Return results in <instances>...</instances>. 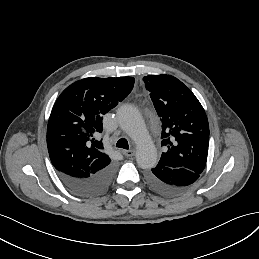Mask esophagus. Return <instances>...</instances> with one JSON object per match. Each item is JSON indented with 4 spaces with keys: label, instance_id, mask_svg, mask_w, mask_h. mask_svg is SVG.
I'll list each match as a JSON object with an SVG mask.
<instances>
[{
    "label": "esophagus",
    "instance_id": "1",
    "mask_svg": "<svg viewBox=\"0 0 259 259\" xmlns=\"http://www.w3.org/2000/svg\"><path fill=\"white\" fill-rule=\"evenodd\" d=\"M122 154L126 157H132L136 154L135 150H122Z\"/></svg>",
    "mask_w": 259,
    "mask_h": 259
}]
</instances>
